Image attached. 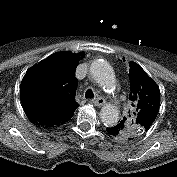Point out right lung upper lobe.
I'll return each mask as SVG.
<instances>
[{
  "label": "right lung upper lobe",
  "instance_id": "obj_1",
  "mask_svg": "<svg viewBox=\"0 0 177 177\" xmlns=\"http://www.w3.org/2000/svg\"><path fill=\"white\" fill-rule=\"evenodd\" d=\"M84 52L55 53L28 70L20 87L27 117L57 127L67 122L78 104L74 97L78 80L75 68Z\"/></svg>",
  "mask_w": 177,
  "mask_h": 177
}]
</instances>
